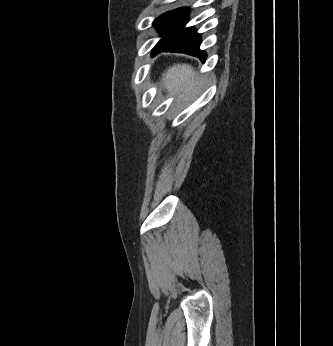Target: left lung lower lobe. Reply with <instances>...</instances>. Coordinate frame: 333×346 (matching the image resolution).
<instances>
[{
  "label": "left lung lower lobe",
  "mask_w": 333,
  "mask_h": 346,
  "mask_svg": "<svg viewBox=\"0 0 333 346\" xmlns=\"http://www.w3.org/2000/svg\"><path fill=\"white\" fill-rule=\"evenodd\" d=\"M201 37L193 27L182 28L168 40L159 42L152 51V56L164 52L185 53L199 57L202 62L206 60V53L200 50Z\"/></svg>",
  "instance_id": "1"
}]
</instances>
